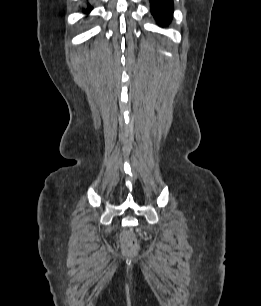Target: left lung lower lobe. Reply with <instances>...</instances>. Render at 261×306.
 <instances>
[{
	"instance_id": "1",
	"label": "left lung lower lobe",
	"mask_w": 261,
	"mask_h": 306,
	"mask_svg": "<svg viewBox=\"0 0 261 306\" xmlns=\"http://www.w3.org/2000/svg\"><path fill=\"white\" fill-rule=\"evenodd\" d=\"M151 12L161 26L167 25L173 14V0H150Z\"/></svg>"
}]
</instances>
